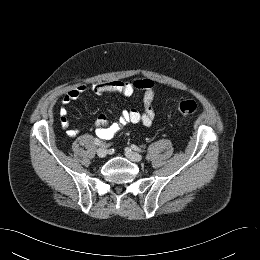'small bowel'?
<instances>
[{"label":"small bowel","instance_id":"1","mask_svg":"<svg viewBox=\"0 0 260 260\" xmlns=\"http://www.w3.org/2000/svg\"><path fill=\"white\" fill-rule=\"evenodd\" d=\"M88 90H91L96 94L115 92L126 97L132 96L137 91L143 92L142 111L136 109L125 110L114 122H110L103 114L97 117L95 120V127L96 133L100 138H111L131 124H142L143 126L149 127L154 120L156 109L153 106V101L157 95L158 87L156 82L150 78H142L135 81L113 79L97 81L90 85L80 84L63 96L62 107L59 109L61 125L67 129L68 135L71 137L77 136L79 131L69 127L66 106L79 99V97Z\"/></svg>","mask_w":260,"mask_h":260}]
</instances>
